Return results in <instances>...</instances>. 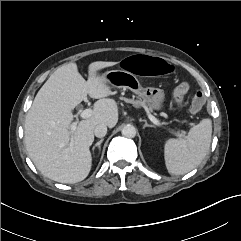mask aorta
Here are the masks:
<instances>
[{
	"label": "aorta",
	"instance_id": "1",
	"mask_svg": "<svg viewBox=\"0 0 241 241\" xmlns=\"http://www.w3.org/2000/svg\"><path fill=\"white\" fill-rule=\"evenodd\" d=\"M121 133L124 137L134 138L136 136V128L133 125H126L122 128Z\"/></svg>",
	"mask_w": 241,
	"mask_h": 241
}]
</instances>
